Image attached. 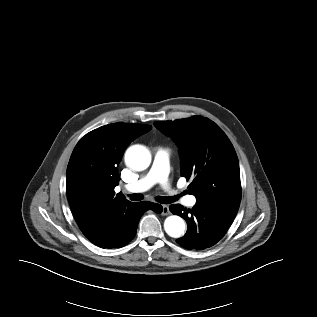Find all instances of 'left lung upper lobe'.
Listing matches in <instances>:
<instances>
[{"label":"left lung upper lobe","instance_id":"left-lung-upper-lobe-1","mask_svg":"<svg viewBox=\"0 0 317 317\" xmlns=\"http://www.w3.org/2000/svg\"><path fill=\"white\" fill-rule=\"evenodd\" d=\"M179 147L181 176L191 180L196 199L240 203V170L236 152L226 134L208 118L193 116L155 122Z\"/></svg>","mask_w":317,"mask_h":317}]
</instances>
